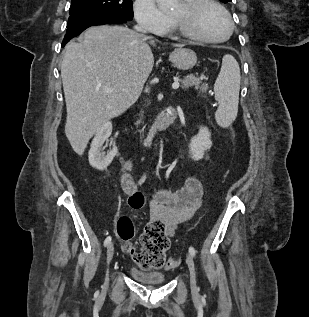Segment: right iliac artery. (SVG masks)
<instances>
[{
    "instance_id": "1",
    "label": "right iliac artery",
    "mask_w": 309,
    "mask_h": 317,
    "mask_svg": "<svg viewBox=\"0 0 309 317\" xmlns=\"http://www.w3.org/2000/svg\"><path fill=\"white\" fill-rule=\"evenodd\" d=\"M146 176L144 175L140 180L139 184H142L145 181ZM111 243V236H108L104 241V246H108Z\"/></svg>"
}]
</instances>
